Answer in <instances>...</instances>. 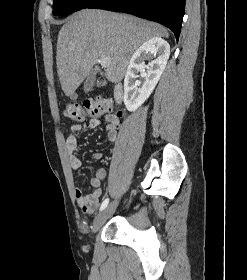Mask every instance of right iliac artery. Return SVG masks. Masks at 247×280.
<instances>
[{"label": "right iliac artery", "mask_w": 247, "mask_h": 280, "mask_svg": "<svg viewBox=\"0 0 247 280\" xmlns=\"http://www.w3.org/2000/svg\"><path fill=\"white\" fill-rule=\"evenodd\" d=\"M108 203H109V198L105 199L102 202L101 207H100V211L104 210L107 207Z\"/></svg>", "instance_id": "right-iliac-artery-1"}]
</instances>
